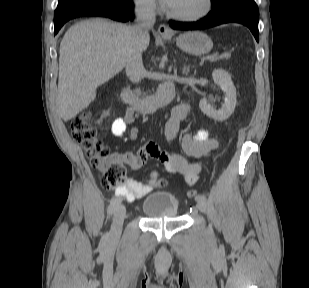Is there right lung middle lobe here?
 Masks as SVG:
<instances>
[{"label": "right lung middle lobe", "mask_w": 309, "mask_h": 288, "mask_svg": "<svg viewBox=\"0 0 309 288\" xmlns=\"http://www.w3.org/2000/svg\"><path fill=\"white\" fill-rule=\"evenodd\" d=\"M84 0H59L55 14H59Z\"/></svg>", "instance_id": "right-lung-middle-lobe-1"}]
</instances>
